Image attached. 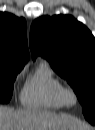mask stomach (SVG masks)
<instances>
[{
    "mask_svg": "<svg viewBox=\"0 0 95 130\" xmlns=\"http://www.w3.org/2000/svg\"><path fill=\"white\" fill-rule=\"evenodd\" d=\"M69 130H82V129L76 128V129H69Z\"/></svg>",
    "mask_w": 95,
    "mask_h": 130,
    "instance_id": "stomach-1",
    "label": "stomach"
}]
</instances>
